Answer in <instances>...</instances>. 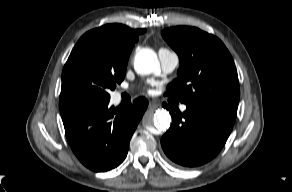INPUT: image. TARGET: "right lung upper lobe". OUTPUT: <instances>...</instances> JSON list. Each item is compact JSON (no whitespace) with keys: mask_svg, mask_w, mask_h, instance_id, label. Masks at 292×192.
Listing matches in <instances>:
<instances>
[{"mask_svg":"<svg viewBox=\"0 0 292 192\" xmlns=\"http://www.w3.org/2000/svg\"><path fill=\"white\" fill-rule=\"evenodd\" d=\"M146 29L133 30L122 24H107L85 33L80 41L89 40L115 63L127 65L130 52L138 36Z\"/></svg>","mask_w":292,"mask_h":192,"instance_id":"cb5924a9","label":"right lung upper lobe"}]
</instances>
